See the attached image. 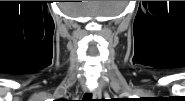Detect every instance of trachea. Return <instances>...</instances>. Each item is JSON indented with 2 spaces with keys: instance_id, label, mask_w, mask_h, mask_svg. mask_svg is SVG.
<instances>
[{
  "instance_id": "trachea-1",
  "label": "trachea",
  "mask_w": 185,
  "mask_h": 101,
  "mask_svg": "<svg viewBox=\"0 0 185 101\" xmlns=\"http://www.w3.org/2000/svg\"><path fill=\"white\" fill-rule=\"evenodd\" d=\"M91 98L92 96L90 94L84 96L85 101H89Z\"/></svg>"
}]
</instances>
